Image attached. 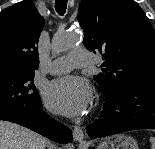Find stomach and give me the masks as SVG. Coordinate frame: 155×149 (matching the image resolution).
Here are the masks:
<instances>
[{
    "mask_svg": "<svg viewBox=\"0 0 155 149\" xmlns=\"http://www.w3.org/2000/svg\"><path fill=\"white\" fill-rule=\"evenodd\" d=\"M97 149H139L138 144L131 136L116 134L104 139Z\"/></svg>",
    "mask_w": 155,
    "mask_h": 149,
    "instance_id": "0dacf381",
    "label": "stomach"
}]
</instances>
